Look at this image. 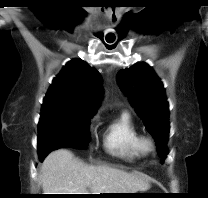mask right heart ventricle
I'll list each match as a JSON object with an SVG mask.
<instances>
[{
	"label": "right heart ventricle",
	"instance_id": "right-heart-ventricle-1",
	"mask_svg": "<svg viewBox=\"0 0 208 198\" xmlns=\"http://www.w3.org/2000/svg\"><path fill=\"white\" fill-rule=\"evenodd\" d=\"M140 133L126 112L113 120L104 131V147L111 155L126 161L138 159Z\"/></svg>",
	"mask_w": 208,
	"mask_h": 198
}]
</instances>
